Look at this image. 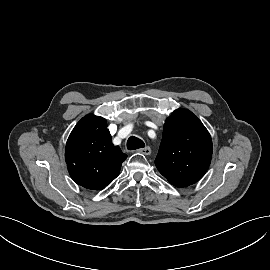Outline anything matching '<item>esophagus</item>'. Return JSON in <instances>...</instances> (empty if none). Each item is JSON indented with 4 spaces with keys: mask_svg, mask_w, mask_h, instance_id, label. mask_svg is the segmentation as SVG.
I'll list each match as a JSON object with an SVG mask.
<instances>
[{
    "mask_svg": "<svg viewBox=\"0 0 270 270\" xmlns=\"http://www.w3.org/2000/svg\"><path fill=\"white\" fill-rule=\"evenodd\" d=\"M137 152L142 153L144 155H149L151 153V148L146 146L144 148L138 149Z\"/></svg>",
    "mask_w": 270,
    "mask_h": 270,
    "instance_id": "34e87169",
    "label": "esophagus"
}]
</instances>
